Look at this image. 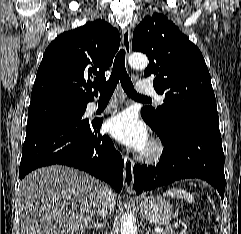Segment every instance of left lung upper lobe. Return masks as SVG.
<instances>
[{"label": "left lung upper lobe", "instance_id": "1", "mask_svg": "<svg viewBox=\"0 0 241 234\" xmlns=\"http://www.w3.org/2000/svg\"><path fill=\"white\" fill-rule=\"evenodd\" d=\"M132 50L145 53V77L154 78L164 104L141 109L145 122L160 138L169 135L178 120H204L219 124L210 74L200 50L162 14L145 17L133 33Z\"/></svg>", "mask_w": 241, "mask_h": 234}]
</instances>
